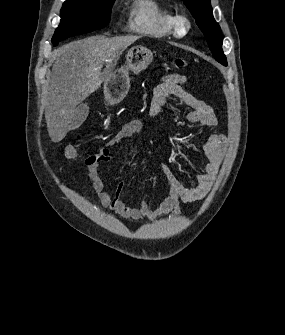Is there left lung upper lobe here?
I'll return each mask as SVG.
<instances>
[{
	"mask_svg": "<svg viewBox=\"0 0 285 335\" xmlns=\"http://www.w3.org/2000/svg\"><path fill=\"white\" fill-rule=\"evenodd\" d=\"M204 33L215 59L224 66L227 60L222 50L221 29L213 18L210 0H183Z\"/></svg>",
	"mask_w": 285,
	"mask_h": 335,
	"instance_id": "obj_1",
	"label": "left lung upper lobe"
}]
</instances>
